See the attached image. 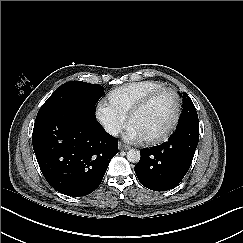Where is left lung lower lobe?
<instances>
[{"label": "left lung lower lobe", "mask_w": 243, "mask_h": 243, "mask_svg": "<svg viewBox=\"0 0 243 243\" xmlns=\"http://www.w3.org/2000/svg\"><path fill=\"white\" fill-rule=\"evenodd\" d=\"M198 141L199 122H187L168 142L141 150L134 167L140 183L154 191L176 187L191 166Z\"/></svg>", "instance_id": "obj_1"}]
</instances>
